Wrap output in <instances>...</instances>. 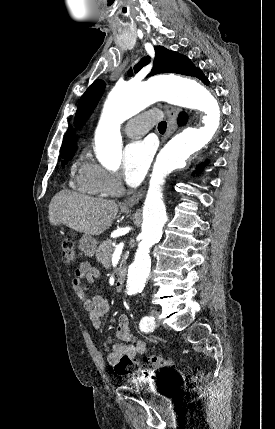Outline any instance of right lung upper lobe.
Listing matches in <instances>:
<instances>
[{"mask_svg":"<svg viewBox=\"0 0 275 429\" xmlns=\"http://www.w3.org/2000/svg\"><path fill=\"white\" fill-rule=\"evenodd\" d=\"M76 138L72 135V129L69 128L62 144L61 148V156H68V155H74V152L76 150Z\"/></svg>","mask_w":275,"mask_h":429,"instance_id":"1","label":"right lung upper lobe"}]
</instances>
